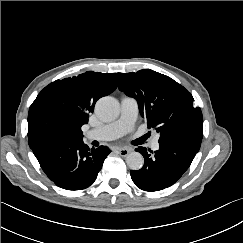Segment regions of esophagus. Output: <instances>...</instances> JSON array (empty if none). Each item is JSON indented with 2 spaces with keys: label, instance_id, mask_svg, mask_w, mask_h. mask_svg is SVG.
<instances>
[{
  "label": "esophagus",
  "instance_id": "34e87169",
  "mask_svg": "<svg viewBox=\"0 0 243 243\" xmlns=\"http://www.w3.org/2000/svg\"><path fill=\"white\" fill-rule=\"evenodd\" d=\"M117 151L122 155V156H127L130 153V150L128 148H117Z\"/></svg>",
  "mask_w": 243,
  "mask_h": 243
}]
</instances>
